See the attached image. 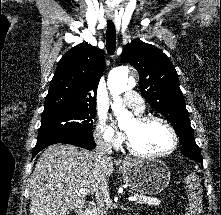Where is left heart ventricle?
<instances>
[{
    "mask_svg": "<svg viewBox=\"0 0 221 215\" xmlns=\"http://www.w3.org/2000/svg\"><path fill=\"white\" fill-rule=\"evenodd\" d=\"M125 131L133 144L145 153L165 152L172 145L170 132L158 121L140 124L134 119L126 126Z\"/></svg>",
    "mask_w": 221,
    "mask_h": 215,
    "instance_id": "left-heart-ventricle-1",
    "label": "left heart ventricle"
}]
</instances>
